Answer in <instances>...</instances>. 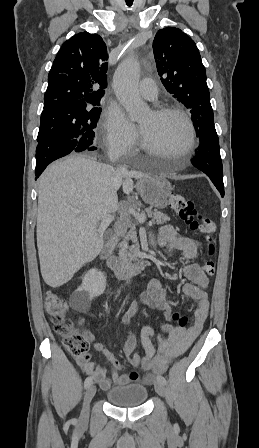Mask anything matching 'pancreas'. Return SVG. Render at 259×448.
Returning <instances> with one entry per match:
<instances>
[{"instance_id": "1", "label": "pancreas", "mask_w": 259, "mask_h": 448, "mask_svg": "<svg viewBox=\"0 0 259 448\" xmlns=\"http://www.w3.org/2000/svg\"><path fill=\"white\" fill-rule=\"evenodd\" d=\"M145 212L148 218H152L153 224H165L169 220L168 216L161 214L158 210H153V208H145ZM129 242H133V246H128ZM119 248V258L122 262L137 260L140 246L137 242L135 228H130V232H127L123 242H120Z\"/></svg>"}]
</instances>
